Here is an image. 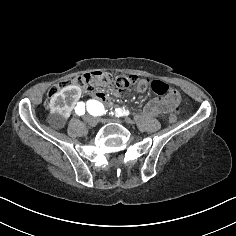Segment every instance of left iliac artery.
Masks as SVG:
<instances>
[{
	"mask_svg": "<svg viewBox=\"0 0 236 236\" xmlns=\"http://www.w3.org/2000/svg\"><path fill=\"white\" fill-rule=\"evenodd\" d=\"M87 111L88 113H90L93 116H101L103 114H106L107 110L104 109V106L102 103H100L99 101L96 100H89L87 101ZM124 111H122L120 108L119 109H115L116 111V116H123V115H128L129 112H125V107H123ZM109 114H114L113 112L109 113Z\"/></svg>",
	"mask_w": 236,
	"mask_h": 236,
	"instance_id": "obj_1",
	"label": "left iliac artery"
}]
</instances>
